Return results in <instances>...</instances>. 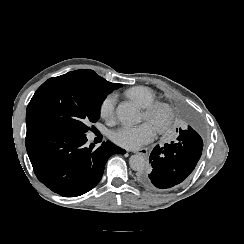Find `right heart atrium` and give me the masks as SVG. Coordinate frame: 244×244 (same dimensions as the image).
Here are the masks:
<instances>
[{"instance_id": "d8ad5b80", "label": "right heart atrium", "mask_w": 244, "mask_h": 244, "mask_svg": "<svg viewBox=\"0 0 244 244\" xmlns=\"http://www.w3.org/2000/svg\"><path fill=\"white\" fill-rule=\"evenodd\" d=\"M116 103H117L116 93H110L103 99L100 108V115L104 120L108 122L113 120L115 115Z\"/></svg>"}]
</instances>
